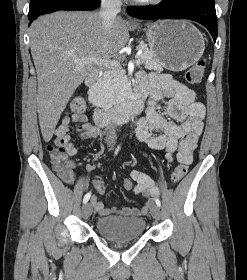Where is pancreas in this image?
Segmentation results:
<instances>
[{
	"instance_id": "cf45deb5",
	"label": "pancreas",
	"mask_w": 247,
	"mask_h": 280,
	"mask_svg": "<svg viewBox=\"0 0 247 280\" xmlns=\"http://www.w3.org/2000/svg\"><path fill=\"white\" fill-rule=\"evenodd\" d=\"M142 51L137 59L149 70H162V65L154 58L146 44L140 43L137 47ZM126 76L119 66L105 71L95 85V99L99 106H112L120 102L124 97V84Z\"/></svg>"
}]
</instances>
